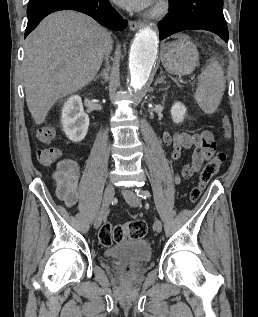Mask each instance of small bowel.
Wrapping results in <instances>:
<instances>
[{
    "mask_svg": "<svg viewBox=\"0 0 258 317\" xmlns=\"http://www.w3.org/2000/svg\"><path fill=\"white\" fill-rule=\"evenodd\" d=\"M54 136L55 130L51 125L43 126L37 131L38 140L45 144H49ZM162 139L163 143L171 149L170 156L174 160L180 159L182 151L192 150L190 162L183 165L181 176L175 177L177 184L180 183L181 178H189L197 173L203 163L212 158L216 150L214 135L209 130L194 134L185 132L171 134L169 131H164ZM54 183L58 198L67 207L74 206L79 198V165L71 159L60 160L54 172Z\"/></svg>",
    "mask_w": 258,
    "mask_h": 317,
    "instance_id": "1",
    "label": "small bowel"
}]
</instances>
